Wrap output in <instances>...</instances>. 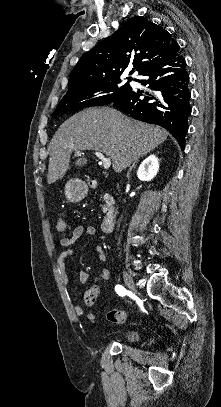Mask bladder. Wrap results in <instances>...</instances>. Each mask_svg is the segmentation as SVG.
Instances as JSON below:
<instances>
[{"label":"bladder","mask_w":221,"mask_h":407,"mask_svg":"<svg viewBox=\"0 0 221 407\" xmlns=\"http://www.w3.org/2000/svg\"><path fill=\"white\" fill-rule=\"evenodd\" d=\"M113 334L114 336L120 337L122 340L130 343H135L139 339V332L133 328H127L120 331H116Z\"/></svg>","instance_id":"obj_1"}]
</instances>
